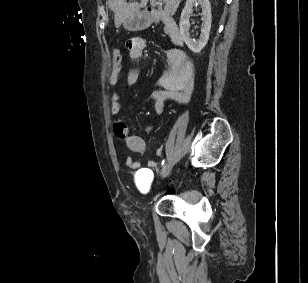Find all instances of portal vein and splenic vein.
Wrapping results in <instances>:
<instances>
[{
	"mask_svg": "<svg viewBox=\"0 0 308 283\" xmlns=\"http://www.w3.org/2000/svg\"><path fill=\"white\" fill-rule=\"evenodd\" d=\"M153 2H155L156 0H152ZM159 3H162V0H159Z\"/></svg>",
	"mask_w": 308,
	"mask_h": 283,
	"instance_id": "1",
	"label": "portal vein and splenic vein"
}]
</instances>
